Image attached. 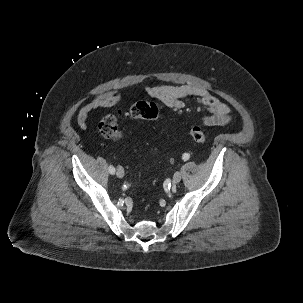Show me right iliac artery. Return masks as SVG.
<instances>
[{
  "label": "right iliac artery",
  "mask_w": 303,
  "mask_h": 303,
  "mask_svg": "<svg viewBox=\"0 0 303 303\" xmlns=\"http://www.w3.org/2000/svg\"><path fill=\"white\" fill-rule=\"evenodd\" d=\"M108 171L110 174H115V168L112 165H109Z\"/></svg>",
  "instance_id": "right-iliac-artery-1"
}]
</instances>
